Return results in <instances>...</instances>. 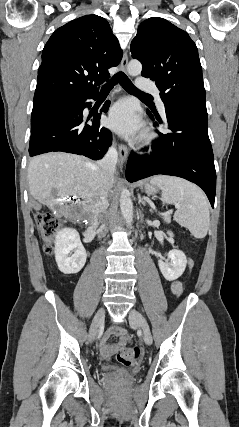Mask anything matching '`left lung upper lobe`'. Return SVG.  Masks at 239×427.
Segmentation results:
<instances>
[{"instance_id":"obj_1","label":"left lung upper lobe","mask_w":239,"mask_h":427,"mask_svg":"<svg viewBox=\"0 0 239 427\" xmlns=\"http://www.w3.org/2000/svg\"><path fill=\"white\" fill-rule=\"evenodd\" d=\"M130 49L143 65L142 76L156 81L163 102L206 111L198 50L185 31L152 17L139 25Z\"/></svg>"}]
</instances>
